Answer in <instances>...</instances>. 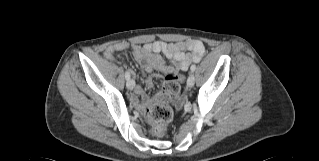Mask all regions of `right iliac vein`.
<instances>
[{
	"mask_svg": "<svg viewBox=\"0 0 319 161\" xmlns=\"http://www.w3.org/2000/svg\"><path fill=\"white\" fill-rule=\"evenodd\" d=\"M126 85L129 89H133L135 82L133 79H128Z\"/></svg>",
	"mask_w": 319,
	"mask_h": 161,
	"instance_id": "right-iliac-vein-1",
	"label": "right iliac vein"
}]
</instances>
